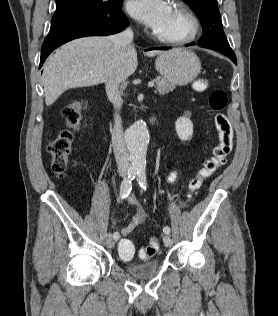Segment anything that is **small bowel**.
<instances>
[{"instance_id":"1","label":"small bowel","mask_w":278,"mask_h":316,"mask_svg":"<svg viewBox=\"0 0 278 316\" xmlns=\"http://www.w3.org/2000/svg\"><path fill=\"white\" fill-rule=\"evenodd\" d=\"M177 176L178 170L175 169L168 176V180L174 182L177 179ZM127 203L134 208V214L128 225L121 230L122 236H127L133 232L144 221L146 216L144 207L135 196L130 195L127 198Z\"/></svg>"}]
</instances>
